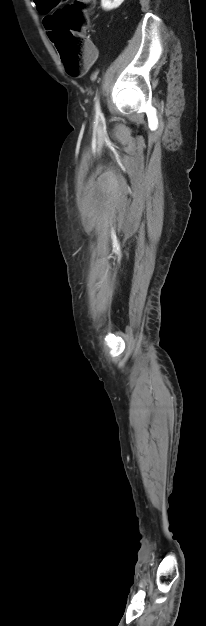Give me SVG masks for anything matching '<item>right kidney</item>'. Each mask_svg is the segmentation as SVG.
<instances>
[{
    "label": "right kidney",
    "mask_w": 206,
    "mask_h": 626,
    "mask_svg": "<svg viewBox=\"0 0 206 626\" xmlns=\"http://www.w3.org/2000/svg\"><path fill=\"white\" fill-rule=\"evenodd\" d=\"M124 0H101L103 10L110 11L118 8Z\"/></svg>",
    "instance_id": "obj_1"
}]
</instances>
